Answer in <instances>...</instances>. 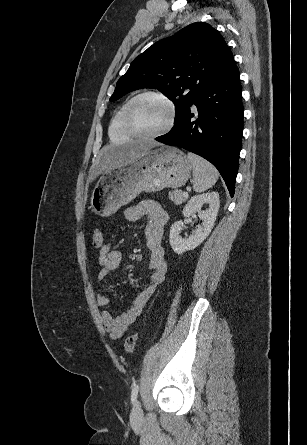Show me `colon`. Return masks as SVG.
Segmentation results:
<instances>
[{"label": "colon", "mask_w": 307, "mask_h": 445, "mask_svg": "<svg viewBox=\"0 0 307 445\" xmlns=\"http://www.w3.org/2000/svg\"><path fill=\"white\" fill-rule=\"evenodd\" d=\"M92 243H93V246L97 249H101L103 247L104 235L100 229L94 230L93 235H92ZM138 337H139V333L136 331V332H133L132 334H130L126 338L125 344H124L126 354L131 355L133 353L135 346H136V342L138 340Z\"/></svg>", "instance_id": "obj_1"}]
</instances>
